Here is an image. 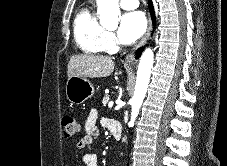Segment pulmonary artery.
I'll list each match as a JSON object with an SVG mask.
<instances>
[{"mask_svg":"<svg viewBox=\"0 0 227 166\" xmlns=\"http://www.w3.org/2000/svg\"><path fill=\"white\" fill-rule=\"evenodd\" d=\"M120 6L125 10H134L139 6V0H120Z\"/></svg>","mask_w":227,"mask_h":166,"instance_id":"1","label":"pulmonary artery"}]
</instances>
